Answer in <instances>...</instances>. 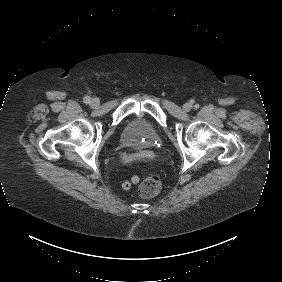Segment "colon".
I'll use <instances>...</instances> for the list:
<instances>
[{"label":"colon","instance_id":"5ec220e1","mask_svg":"<svg viewBox=\"0 0 282 282\" xmlns=\"http://www.w3.org/2000/svg\"><path fill=\"white\" fill-rule=\"evenodd\" d=\"M139 177H133L129 181H125L123 183V187L125 189L130 188ZM161 189V180L156 175H151L142 182V184L138 187V194L145 198L150 199L158 194Z\"/></svg>","mask_w":282,"mask_h":282}]
</instances>
